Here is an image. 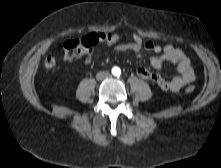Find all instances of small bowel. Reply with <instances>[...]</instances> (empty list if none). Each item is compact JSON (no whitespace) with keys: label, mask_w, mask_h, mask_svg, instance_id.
<instances>
[{"label":"small bowel","mask_w":221,"mask_h":168,"mask_svg":"<svg viewBox=\"0 0 221 168\" xmlns=\"http://www.w3.org/2000/svg\"><path fill=\"white\" fill-rule=\"evenodd\" d=\"M113 46L117 52L133 51L140 54L143 49L152 52L150 64L154 69L157 70L161 69L165 62L174 64L177 68L178 75L171 79H164L160 75L150 72L145 67H139L137 69V75L140 78L152 81L162 90L177 92L195 79V73L192 68L191 61L181 49L170 45L162 47L150 40H146V44L142 48L137 47L131 42L119 43L118 45ZM90 62L91 57L88 56L86 58V63L89 64Z\"/></svg>","instance_id":"small-bowel-1"}]
</instances>
